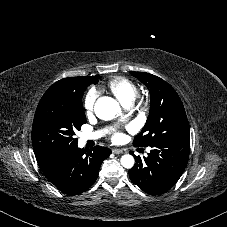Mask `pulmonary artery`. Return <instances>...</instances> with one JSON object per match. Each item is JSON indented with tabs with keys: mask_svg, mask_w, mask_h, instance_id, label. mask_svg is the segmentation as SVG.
Segmentation results:
<instances>
[{
	"mask_svg": "<svg viewBox=\"0 0 227 227\" xmlns=\"http://www.w3.org/2000/svg\"><path fill=\"white\" fill-rule=\"evenodd\" d=\"M103 133L104 132L102 130H97V131H94V132L85 133V134L82 135V141L95 140V139L101 138L103 136Z\"/></svg>",
	"mask_w": 227,
	"mask_h": 227,
	"instance_id": "1",
	"label": "pulmonary artery"
}]
</instances>
